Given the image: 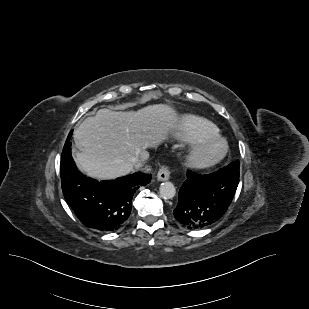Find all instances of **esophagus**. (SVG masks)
I'll return each mask as SVG.
<instances>
[{
	"mask_svg": "<svg viewBox=\"0 0 309 309\" xmlns=\"http://www.w3.org/2000/svg\"><path fill=\"white\" fill-rule=\"evenodd\" d=\"M169 177H170L169 168L167 166H162L157 173V179L159 181H166L169 179Z\"/></svg>",
	"mask_w": 309,
	"mask_h": 309,
	"instance_id": "34e87169",
	"label": "esophagus"
}]
</instances>
